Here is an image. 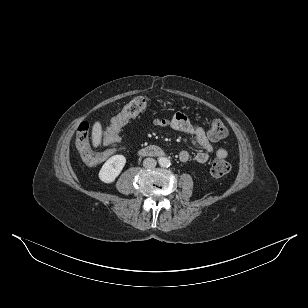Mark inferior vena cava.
<instances>
[{"label":"inferior vena cava","mask_w":308,"mask_h":308,"mask_svg":"<svg viewBox=\"0 0 308 308\" xmlns=\"http://www.w3.org/2000/svg\"><path fill=\"white\" fill-rule=\"evenodd\" d=\"M157 162L153 158H146L143 161V166L145 168H154L156 166Z\"/></svg>","instance_id":"inferior-vena-cava-1"}]
</instances>
